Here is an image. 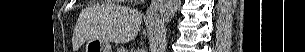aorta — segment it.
I'll return each instance as SVG.
<instances>
[{
  "label": "aorta",
  "instance_id": "1",
  "mask_svg": "<svg viewBox=\"0 0 305 52\" xmlns=\"http://www.w3.org/2000/svg\"><path fill=\"white\" fill-rule=\"evenodd\" d=\"M180 2V0H161L160 16L163 22H171L180 6Z\"/></svg>",
  "mask_w": 305,
  "mask_h": 52
}]
</instances>
